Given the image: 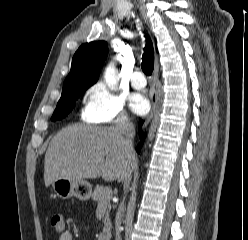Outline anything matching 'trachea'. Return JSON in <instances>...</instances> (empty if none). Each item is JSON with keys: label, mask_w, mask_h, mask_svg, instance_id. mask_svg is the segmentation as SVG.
I'll return each instance as SVG.
<instances>
[{"label": "trachea", "mask_w": 248, "mask_h": 240, "mask_svg": "<svg viewBox=\"0 0 248 240\" xmlns=\"http://www.w3.org/2000/svg\"><path fill=\"white\" fill-rule=\"evenodd\" d=\"M145 38H146V45L144 47L141 67L146 75H151L154 69V50H153L152 42L150 41L149 37L145 35Z\"/></svg>", "instance_id": "trachea-1"}]
</instances>
